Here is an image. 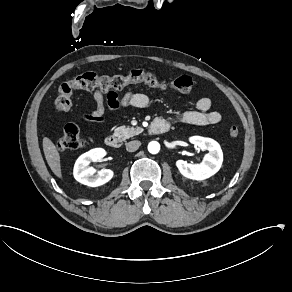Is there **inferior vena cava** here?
Listing matches in <instances>:
<instances>
[{"label":"inferior vena cava","instance_id":"1","mask_svg":"<svg viewBox=\"0 0 292 292\" xmlns=\"http://www.w3.org/2000/svg\"><path fill=\"white\" fill-rule=\"evenodd\" d=\"M141 145L140 141L134 140V141H130L126 144V150L128 152H134L136 151Z\"/></svg>","mask_w":292,"mask_h":292}]
</instances>
